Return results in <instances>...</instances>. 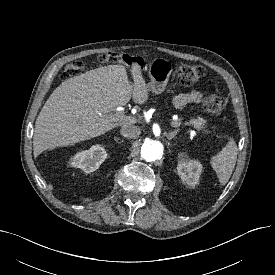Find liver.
<instances>
[{
  "label": "liver",
  "instance_id": "liver-1",
  "mask_svg": "<svg viewBox=\"0 0 275 275\" xmlns=\"http://www.w3.org/2000/svg\"><path fill=\"white\" fill-rule=\"evenodd\" d=\"M131 73L133 84L123 65L99 67L62 82L36 119L34 156L100 136L117 126L135 124L137 119L133 116L113 119V111L125 106L131 97L138 104L148 100V86L137 62Z\"/></svg>",
  "mask_w": 275,
  "mask_h": 275
}]
</instances>
